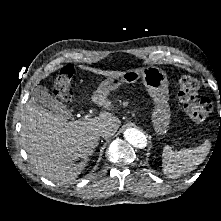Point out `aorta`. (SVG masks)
<instances>
[{
    "instance_id": "762f6f07",
    "label": "aorta",
    "mask_w": 221,
    "mask_h": 221,
    "mask_svg": "<svg viewBox=\"0 0 221 221\" xmlns=\"http://www.w3.org/2000/svg\"><path fill=\"white\" fill-rule=\"evenodd\" d=\"M125 140L136 148H145L147 145L146 136L138 129L128 128L124 131Z\"/></svg>"
}]
</instances>
